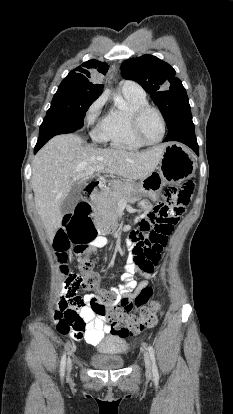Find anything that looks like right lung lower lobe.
I'll use <instances>...</instances> for the list:
<instances>
[{
	"label": "right lung lower lobe",
	"instance_id": "1",
	"mask_svg": "<svg viewBox=\"0 0 233 414\" xmlns=\"http://www.w3.org/2000/svg\"><path fill=\"white\" fill-rule=\"evenodd\" d=\"M81 128L80 125L56 117H45L40 126L39 138L34 153H36L53 136L72 133Z\"/></svg>",
	"mask_w": 233,
	"mask_h": 414
}]
</instances>
